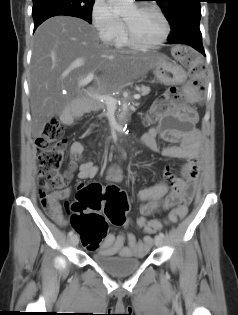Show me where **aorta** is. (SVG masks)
Masks as SVG:
<instances>
[{
	"label": "aorta",
	"mask_w": 238,
	"mask_h": 315,
	"mask_svg": "<svg viewBox=\"0 0 238 315\" xmlns=\"http://www.w3.org/2000/svg\"><path fill=\"white\" fill-rule=\"evenodd\" d=\"M116 14H126L134 7L133 0H108Z\"/></svg>",
	"instance_id": "obj_1"
}]
</instances>
